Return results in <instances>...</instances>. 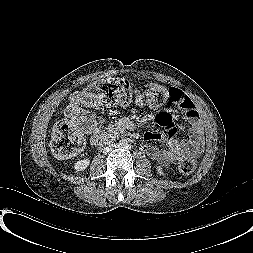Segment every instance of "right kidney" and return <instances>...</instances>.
Returning <instances> with one entry per match:
<instances>
[{
    "instance_id": "obj_1",
    "label": "right kidney",
    "mask_w": 253,
    "mask_h": 253,
    "mask_svg": "<svg viewBox=\"0 0 253 253\" xmlns=\"http://www.w3.org/2000/svg\"><path fill=\"white\" fill-rule=\"evenodd\" d=\"M90 164V160L88 158L79 160L74 164V169L76 172L84 171Z\"/></svg>"
}]
</instances>
